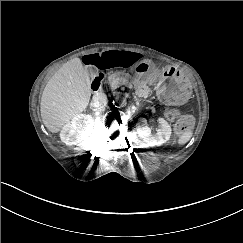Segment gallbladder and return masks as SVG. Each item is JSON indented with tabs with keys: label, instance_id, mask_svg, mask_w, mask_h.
Wrapping results in <instances>:
<instances>
[{
	"label": "gallbladder",
	"instance_id": "1",
	"mask_svg": "<svg viewBox=\"0 0 243 243\" xmlns=\"http://www.w3.org/2000/svg\"><path fill=\"white\" fill-rule=\"evenodd\" d=\"M86 72L90 75H94L97 73V70L95 67H92V66H87L86 67Z\"/></svg>",
	"mask_w": 243,
	"mask_h": 243
}]
</instances>
